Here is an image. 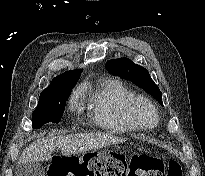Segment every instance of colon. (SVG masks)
<instances>
[{"label": "colon", "instance_id": "colon-1", "mask_svg": "<svg viewBox=\"0 0 205 176\" xmlns=\"http://www.w3.org/2000/svg\"><path fill=\"white\" fill-rule=\"evenodd\" d=\"M48 176H182L176 160L166 167L163 161L150 154L134 155L130 159L105 151L83 155H54Z\"/></svg>", "mask_w": 205, "mask_h": 176}]
</instances>
